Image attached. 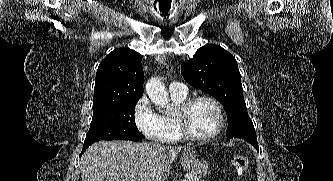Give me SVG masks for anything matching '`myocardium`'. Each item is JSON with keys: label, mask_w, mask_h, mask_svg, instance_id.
<instances>
[{"label": "myocardium", "mask_w": 333, "mask_h": 181, "mask_svg": "<svg viewBox=\"0 0 333 181\" xmlns=\"http://www.w3.org/2000/svg\"><path fill=\"white\" fill-rule=\"evenodd\" d=\"M200 100H206L210 102L216 109L217 115H218V126L212 133L206 135V136H197L194 133L191 132V130L188 127L187 123V115L191 109V107ZM174 117L177 121V124L179 126L180 132L182 136L188 140L191 141H197V142H207L215 137H217L221 131L224 128L225 125V116L224 111L221 103L214 97L210 95H196L189 98H186L181 104H179L176 108V111L174 113Z\"/></svg>", "instance_id": "myocardium-1"}]
</instances>
